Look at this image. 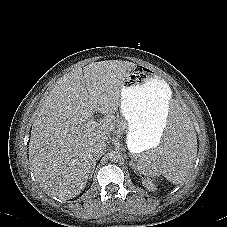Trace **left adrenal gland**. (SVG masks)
<instances>
[{
	"mask_svg": "<svg viewBox=\"0 0 227 227\" xmlns=\"http://www.w3.org/2000/svg\"><path fill=\"white\" fill-rule=\"evenodd\" d=\"M134 161V159L131 157V161H130V163H129V165L134 169H136V165H135V163L133 162Z\"/></svg>",
	"mask_w": 227,
	"mask_h": 227,
	"instance_id": "left-adrenal-gland-1",
	"label": "left adrenal gland"
}]
</instances>
